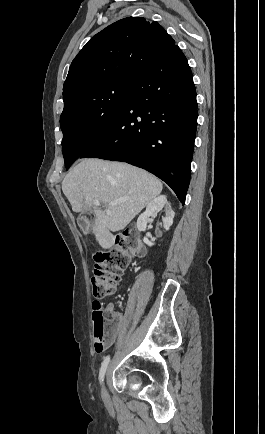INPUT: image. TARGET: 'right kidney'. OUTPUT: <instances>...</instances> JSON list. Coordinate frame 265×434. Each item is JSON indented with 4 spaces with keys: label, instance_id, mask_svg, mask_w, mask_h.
Here are the masks:
<instances>
[{
    "label": "right kidney",
    "instance_id": "1",
    "mask_svg": "<svg viewBox=\"0 0 265 434\" xmlns=\"http://www.w3.org/2000/svg\"><path fill=\"white\" fill-rule=\"evenodd\" d=\"M163 206H165L166 216L165 218H162V222L165 230H170V226L173 224L175 212H173L169 202H167V196H157V198H154V200L148 204L145 212L139 216L137 220V228L139 232H145L148 222L155 218L158 208H163ZM148 238H151V234H147V236L143 238L144 244H147V246H154L153 242H150Z\"/></svg>",
    "mask_w": 265,
    "mask_h": 434
}]
</instances>
